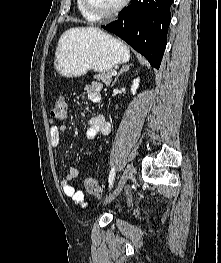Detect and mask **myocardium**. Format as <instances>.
I'll return each instance as SVG.
<instances>
[{"instance_id": "1", "label": "myocardium", "mask_w": 221, "mask_h": 263, "mask_svg": "<svg viewBox=\"0 0 221 263\" xmlns=\"http://www.w3.org/2000/svg\"><path fill=\"white\" fill-rule=\"evenodd\" d=\"M82 1V6L84 8V10L90 15L91 18H93L94 20H100V19H107V18H111L116 16L117 14H119L124 7L128 4L129 0H121V2L118 4L117 7H115L114 9L107 11V12H103V13H98L96 11H94L90 5H89V1L88 0H81Z\"/></svg>"}]
</instances>
